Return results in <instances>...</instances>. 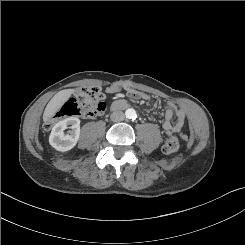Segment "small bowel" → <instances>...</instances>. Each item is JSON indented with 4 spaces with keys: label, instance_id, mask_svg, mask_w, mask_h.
Wrapping results in <instances>:
<instances>
[{
    "label": "small bowel",
    "instance_id": "c3829d8e",
    "mask_svg": "<svg viewBox=\"0 0 245 245\" xmlns=\"http://www.w3.org/2000/svg\"><path fill=\"white\" fill-rule=\"evenodd\" d=\"M122 89H124L127 95L132 99H136V100H149L150 99V96L148 94L134 90L128 84H123ZM117 90L118 89L116 87L107 88L108 93H114ZM124 103H126L124 100L115 101L112 104V108L115 109ZM185 119H186L185 111L183 109L176 107L173 103H169L165 111V121L162 125L164 133L167 135L172 134V133H180L185 123Z\"/></svg>",
    "mask_w": 245,
    "mask_h": 245
}]
</instances>
